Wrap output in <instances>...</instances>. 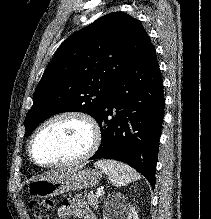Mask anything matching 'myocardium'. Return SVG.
<instances>
[{
	"label": "myocardium",
	"instance_id": "obj_1",
	"mask_svg": "<svg viewBox=\"0 0 211 219\" xmlns=\"http://www.w3.org/2000/svg\"><path fill=\"white\" fill-rule=\"evenodd\" d=\"M63 118H73V119L80 120L88 127L90 131V142H89L88 147L81 155L71 160H66V161L56 162V163H49V164H43V163L38 162L33 154V144H34L36 137L38 136V134L41 132V130L44 127H46L47 125H49L50 123L56 120L63 119ZM100 142H101V132H100V128L96 120L85 112L68 110V111H62V112L56 113L50 116L49 118H47L46 120H44L42 123H40L36 127V129L34 130V132L32 133L29 139L27 150H28V156L31 162L38 167L65 168V167L76 166L78 164H81L87 161L97 151V149L99 148Z\"/></svg>",
	"mask_w": 211,
	"mask_h": 219
}]
</instances>
